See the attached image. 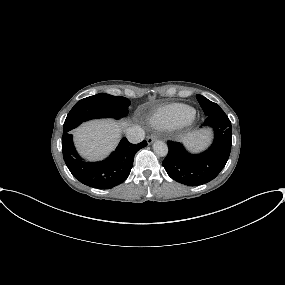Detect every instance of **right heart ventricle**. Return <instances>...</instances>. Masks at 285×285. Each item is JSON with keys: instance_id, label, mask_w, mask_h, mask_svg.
<instances>
[{"instance_id": "e07e8e85", "label": "right heart ventricle", "mask_w": 285, "mask_h": 285, "mask_svg": "<svg viewBox=\"0 0 285 285\" xmlns=\"http://www.w3.org/2000/svg\"><path fill=\"white\" fill-rule=\"evenodd\" d=\"M195 111L186 104L172 103L155 111L151 117V124L157 128L175 129L191 120Z\"/></svg>"}]
</instances>
